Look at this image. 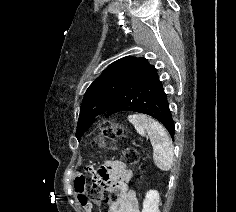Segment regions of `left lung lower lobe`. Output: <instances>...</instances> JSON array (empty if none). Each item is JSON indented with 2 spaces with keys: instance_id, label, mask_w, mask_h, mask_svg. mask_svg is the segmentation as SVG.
Masks as SVG:
<instances>
[{
  "instance_id": "1",
  "label": "left lung lower lobe",
  "mask_w": 236,
  "mask_h": 212,
  "mask_svg": "<svg viewBox=\"0 0 236 212\" xmlns=\"http://www.w3.org/2000/svg\"><path fill=\"white\" fill-rule=\"evenodd\" d=\"M122 111H133L160 121L174 140V122L169 103L156 68L143 58L130 80L113 100L106 117Z\"/></svg>"
}]
</instances>
